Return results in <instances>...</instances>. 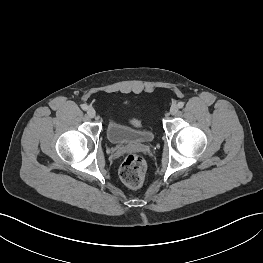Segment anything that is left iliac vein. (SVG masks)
I'll return each instance as SVG.
<instances>
[{"instance_id":"4c4485c4","label":"left iliac vein","mask_w":263,"mask_h":263,"mask_svg":"<svg viewBox=\"0 0 263 263\" xmlns=\"http://www.w3.org/2000/svg\"><path fill=\"white\" fill-rule=\"evenodd\" d=\"M178 112V106L176 104L172 105L170 108V113L175 115Z\"/></svg>"}]
</instances>
